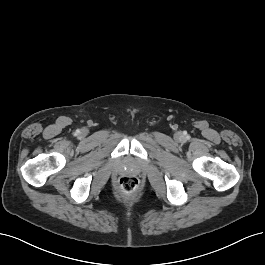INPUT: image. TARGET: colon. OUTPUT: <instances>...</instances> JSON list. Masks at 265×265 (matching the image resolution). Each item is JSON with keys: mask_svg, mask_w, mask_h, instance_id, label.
<instances>
[{"mask_svg": "<svg viewBox=\"0 0 265 265\" xmlns=\"http://www.w3.org/2000/svg\"><path fill=\"white\" fill-rule=\"evenodd\" d=\"M120 187L126 192H133L138 187V180L133 176H123L119 179Z\"/></svg>", "mask_w": 265, "mask_h": 265, "instance_id": "obj_1", "label": "colon"}]
</instances>
